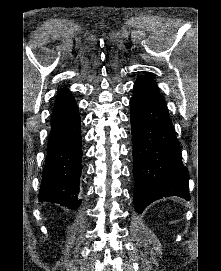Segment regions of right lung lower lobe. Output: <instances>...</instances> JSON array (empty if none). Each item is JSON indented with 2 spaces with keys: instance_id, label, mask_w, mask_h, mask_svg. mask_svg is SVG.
I'll return each instance as SVG.
<instances>
[{
  "instance_id": "1",
  "label": "right lung lower lobe",
  "mask_w": 221,
  "mask_h": 271,
  "mask_svg": "<svg viewBox=\"0 0 221 271\" xmlns=\"http://www.w3.org/2000/svg\"><path fill=\"white\" fill-rule=\"evenodd\" d=\"M81 120L76 102L53 110L39 200L77 209L82 159Z\"/></svg>"
}]
</instances>
